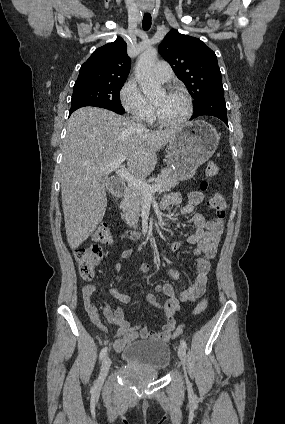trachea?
Segmentation results:
<instances>
[{"label":"trachea","mask_w":285,"mask_h":424,"mask_svg":"<svg viewBox=\"0 0 285 424\" xmlns=\"http://www.w3.org/2000/svg\"><path fill=\"white\" fill-rule=\"evenodd\" d=\"M151 27V15L149 13H145L142 21V28L145 31H148Z\"/></svg>","instance_id":"3493384b"}]
</instances>
